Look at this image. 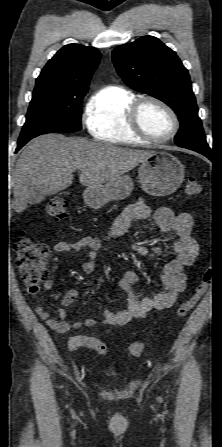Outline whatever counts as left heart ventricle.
<instances>
[{"mask_svg": "<svg viewBox=\"0 0 222 447\" xmlns=\"http://www.w3.org/2000/svg\"><path fill=\"white\" fill-rule=\"evenodd\" d=\"M142 127L156 138L166 137L172 130V121L167 112L154 103H145L140 111Z\"/></svg>", "mask_w": 222, "mask_h": 447, "instance_id": "1", "label": "left heart ventricle"}]
</instances>
